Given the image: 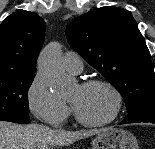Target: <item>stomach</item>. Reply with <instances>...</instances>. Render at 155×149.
Wrapping results in <instances>:
<instances>
[{"label":"stomach","instance_id":"obj_1","mask_svg":"<svg viewBox=\"0 0 155 149\" xmlns=\"http://www.w3.org/2000/svg\"><path fill=\"white\" fill-rule=\"evenodd\" d=\"M92 149H139L135 136L121 128H108L92 140Z\"/></svg>","mask_w":155,"mask_h":149}]
</instances>
